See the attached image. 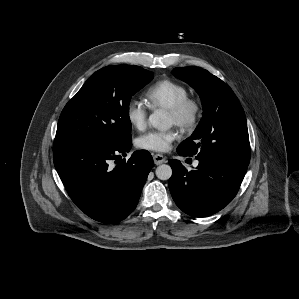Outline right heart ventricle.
I'll return each instance as SVG.
<instances>
[{"label": "right heart ventricle", "mask_w": 299, "mask_h": 299, "mask_svg": "<svg viewBox=\"0 0 299 299\" xmlns=\"http://www.w3.org/2000/svg\"><path fill=\"white\" fill-rule=\"evenodd\" d=\"M185 85L171 79H163L145 92V97L152 108L170 109L188 96Z\"/></svg>", "instance_id": "e07e8e85"}]
</instances>
